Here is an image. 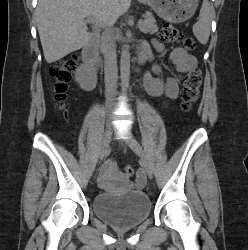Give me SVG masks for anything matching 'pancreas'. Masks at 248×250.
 <instances>
[{
  "label": "pancreas",
  "mask_w": 248,
  "mask_h": 250,
  "mask_svg": "<svg viewBox=\"0 0 248 250\" xmlns=\"http://www.w3.org/2000/svg\"><path fill=\"white\" fill-rule=\"evenodd\" d=\"M144 20L141 21V24H138V27L140 29L141 32H143L144 34L150 33V34H154L158 31V27L156 25V20L154 18V16L152 15L151 12H146L143 15ZM113 32V31H112ZM105 42L102 45V48H104L105 46Z\"/></svg>",
  "instance_id": "obj_1"
}]
</instances>
